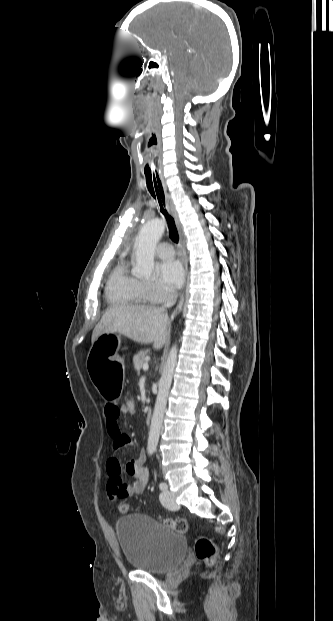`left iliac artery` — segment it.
I'll use <instances>...</instances> for the list:
<instances>
[{
    "label": "left iliac artery",
    "instance_id": "1",
    "mask_svg": "<svg viewBox=\"0 0 333 621\" xmlns=\"http://www.w3.org/2000/svg\"><path fill=\"white\" fill-rule=\"evenodd\" d=\"M159 488H160V490H165V489L167 488L166 483L161 482V483L159 484Z\"/></svg>",
    "mask_w": 333,
    "mask_h": 621
}]
</instances>
